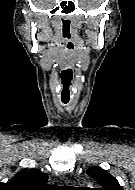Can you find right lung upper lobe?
Masks as SVG:
<instances>
[{
	"instance_id": "1",
	"label": "right lung upper lobe",
	"mask_w": 135,
	"mask_h": 190,
	"mask_svg": "<svg viewBox=\"0 0 135 190\" xmlns=\"http://www.w3.org/2000/svg\"><path fill=\"white\" fill-rule=\"evenodd\" d=\"M47 180V174L38 169L24 170L2 188L7 187L11 190H47L50 188L49 185H46Z\"/></svg>"
}]
</instances>
